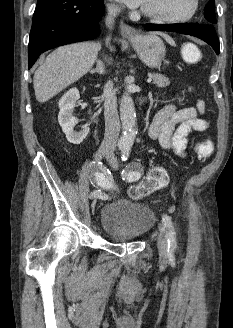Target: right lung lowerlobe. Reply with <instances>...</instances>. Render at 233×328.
<instances>
[{"mask_svg":"<svg viewBox=\"0 0 233 328\" xmlns=\"http://www.w3.org/2000/svg\"><path fill=\"white\" fill-rule=\"evenodd\" d=\"M103 12L102 0H38L28 45L29 68L44 51L97 36Z\"/></svg>","mask_w":233,"mask_h":328,"instance_id":"98d812e1","label":"right lung lower lobe"}]
</instances>
